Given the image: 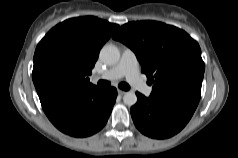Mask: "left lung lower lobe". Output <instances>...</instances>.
<instances>
[{
  "label": "left lung lower lobe",
  "instance_id": "1",
  "mask_svg": "<svg viewBox=\"0 0 238 158\" xmlns=\"http://www.w3.org/2000/svg\"><path fill=\"white\" fill-rule=\"evenodd\" d=\"M137 103L131 116L137 129L152 138H169L178 133L192 117L201 95V88L189 87L147 98L136 92Z\"/></svg>",
  "mask_w": 238,
  "mask_h": 158
}]
</instances>
